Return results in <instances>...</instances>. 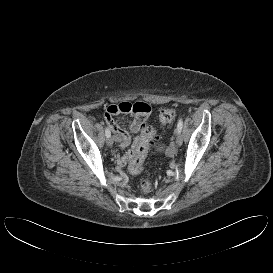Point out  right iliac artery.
Here are the masks:
<instances>
[{
  "label": "right iliac artery",
  "mask_w": 273,
  "mask_h": 273,
  "mask_svg": "<svg viewBox=\"0 0 273 273\" xmlns=\"http://www.w3.org/2000/svg\"><path fill=\"white\" fill-rule=\"evenodd\" d=\"M105 135H106L107 138L111 136V132L107 127L105 129Z\"/></svg>",
  "instance_id": "82829eb1"
}]
</instances>
